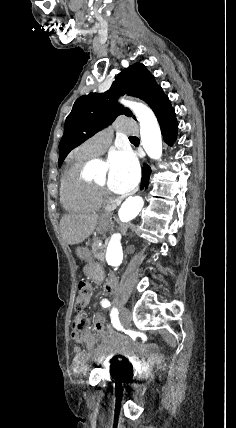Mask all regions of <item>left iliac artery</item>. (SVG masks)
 <instances>
[{"instance_id":"1","label":"left iliac artery","mask_w":236,"mask_h":428,"mask_svg":"<svg viewBox=\"0 0 236 428\" xmlns=\"http://www.w3.org/2000/svg\"><path fill=\"white\" fill-rule=\"evenodd\" d=\"M102 306L104 308L109 307L111 304L107 299H103V301L101 302Z\"/></svg>"}]
</instances>
